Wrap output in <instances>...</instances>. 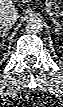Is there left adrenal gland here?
Listing matches in <instances>:
<instances>
[{
	"mask_svg": "<svg viewBox=\"0 0 63 107\" xmlns=\"http://www.w3.org/2000/svg\"><path fill=\"white\" fill-rule=\"evenodd\" d=\"M50 20L53 22V24L55 25V27H56V29H55V31L57 32V34H59L58 32H59V29H61V24L59 23V22H57V20L56 19H54V18H50Z\"/></svg>",
	"mask_w": 63,
	"mask_h": 107,
	"instance_id": "left-adrenal-gland-1",
	"label": "left adrenal gland"
}]
</instances>
